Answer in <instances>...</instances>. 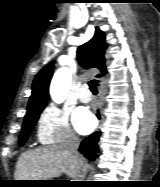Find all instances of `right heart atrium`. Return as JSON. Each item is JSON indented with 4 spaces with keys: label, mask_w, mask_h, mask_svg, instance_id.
<instances>
[{
    "label": "right heart atrium",
    "mask_w": 160,
    "mask_h": 187,
    "mask_svg": "<svg viewBox=\"0 0 160 187\" xmlns=\"http://www.w3.org/2000/svg\"><path fill=\"white\" fill-rule=\"evenodd\" d=\"M38 139L44 145L78 143L68 114L54 105L47 106L38 118Z\"/></svg>",
    "instance_id": "d8ad5b80"
}]
</instances>
